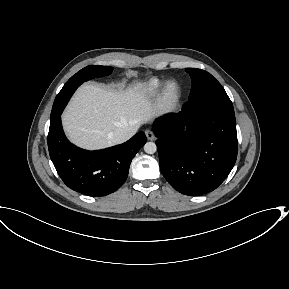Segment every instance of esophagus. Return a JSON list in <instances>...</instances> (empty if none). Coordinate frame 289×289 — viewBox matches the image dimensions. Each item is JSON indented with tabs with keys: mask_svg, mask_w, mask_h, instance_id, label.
Wrapping results in <instances>:
<instances>
[{
	"mask_svg": "<svg viewBox=\"0 0 289 289\" xmlns=\"http://www.w3.org/2000/svg\"><path fill=\"white\" fill-rule=\"evenodd\" d=\"M145 135H146V137H147V139L148 140H154L155 139V135H154V133L152 132V131H150V130H146L145 131Z\"/></svg>",
	"mask_w": 289,
	"mask_h": 289,
	"instance_id": "esophagus-1",
	"label": "esophagus"
}]
</instances>
